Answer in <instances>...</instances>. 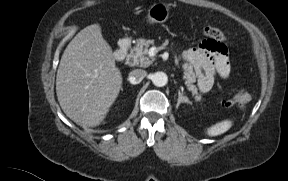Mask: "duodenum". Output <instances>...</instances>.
Wrapping results in <instances>:
<instances>
[{"mask_svg": "<svg viewBox=\"0 0 288 181\" xmlns=\"http://www.w3.org/2000/svg\"><path fill=\"white\" fill-rule=\"evenodd\" d=\"M121 56L119 57L122 61H129L130 60V52H131V42L129 39L125 38L120 41L119 44Z\"/></svg>", "mask_w": 288, "mask_h": 181, "instance_id": "duodenum-1", "label": "duodenum"}]
</instances>
